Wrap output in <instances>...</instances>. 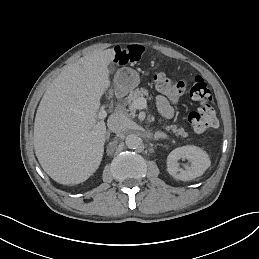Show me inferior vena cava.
Listing matches in <instances>:
<instances>
[{
	"label": "inferior vena cava",
	"instance_id": "obj_1",
	"mask_svg": "<svg viewBox=\"0 0 259 259\" xmlns=\"http://www.w3.org/2000/svg\"><path fill=\"white\" fill-rule=\"evenodd\" d=\"M128 118L124 114L114 113L109 116L107 126L109 130L120 133L127 128Z\"/></svg>",
	"mask_w": 259,
	"mask_h": 259
}]
</instances>
